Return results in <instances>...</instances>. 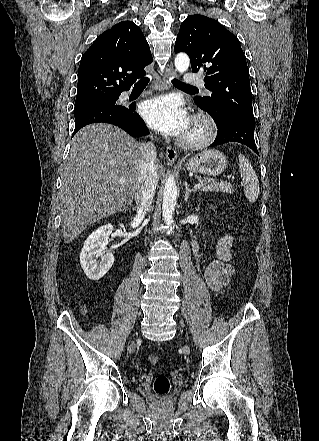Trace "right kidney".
I'll return each instance as SVG.
<instances>
[{"mask_svg": "<svg viewBox=\"0 0 319 441\" xmlns=\"http://www.w3.org/2000/svg\"><path fill=\"white\" fill-rule=\"evenodd\" d=\"M112 231L113 226L105 224L93 231L84 242L80 253V264L90 280L101 279L114 263L113 254H105V247ZM98 257L101 258L100 263L97 261Z\"/></svg>", "mask_w": 319, "mask_h": 441, "instance_id": "ca27d5eb", "label": "right kidney"}]
</instances>
